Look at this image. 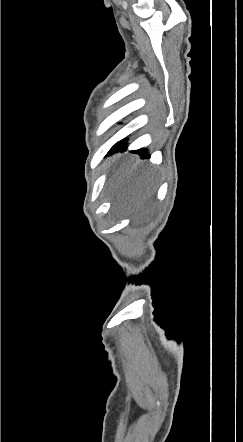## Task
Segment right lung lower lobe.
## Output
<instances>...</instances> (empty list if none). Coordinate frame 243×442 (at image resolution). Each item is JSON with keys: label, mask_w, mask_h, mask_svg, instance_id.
<instances>
[{"label": "right lung lower lobe", "mask_w": 243, "mask_h": 442, "mask_svg": "<svg viewBox=\"0 0 243 442\" xmlns=\"http://www.w3.org/2000/svg\"><path fill=\"white\" fill-rule=\"evenodd\" d=\"M121 148H126V141L122 140L120 142H118L117 144H115L111 151L113 150H120ZM138 153H140L141 158H147L149 157L147 151L145 149H140L137 151Z\"/></svg>", "instance_id": "obj_1"}]
</instances>
